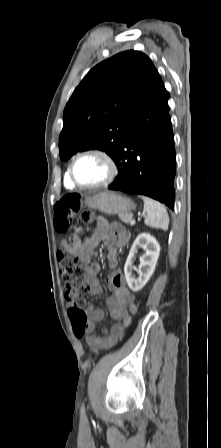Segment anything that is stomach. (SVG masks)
<instances>
[{
    "mask_svg": "<svg viewBox=\"0 0 221 448\" xmlns=\"http://www.w3.org/2000/svg\"><path fill=\"white\" fill-rule=\"evenodd\" d=\"M85 204L107 215H131L133 201L115 192L104 191L85 199Z\"/></svg>",
    "mask_w": 221,
    "mask_h": 448,
    "instance_id": "1",
    "label": "stomach"
}]
</instances>
